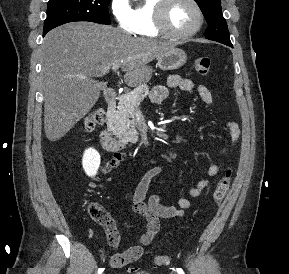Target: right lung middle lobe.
<instances>
[{
    "label": "right lung middle lobe",
    "instance_id": "obj_1",
    "mask_svg": "<svg viewBox=\"0 0 289 274\" xmlns=\"http://www.w3.org/2000/svg\"><path fill=\"white\" fill-rule=\"evenodd\" d=\"M109 2L110 0H49L43 34L74 21L110 24L107 10Z\"/></svg>",
    "mask_w": 289,
    "mask_h": 274
}]
</instances>
